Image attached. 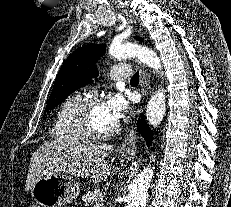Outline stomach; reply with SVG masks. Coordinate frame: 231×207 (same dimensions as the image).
Wrapping results in <instances>:
<instances>
[{"instance_id": "stomach-1", "label": "stomach", "mask_w": 231, "mask_h": 207, "mask_svg": "<svg viewBox=\"0 0 231 207\" xmlns=\"http://www.w3.org/2000/svg\"><path fill=\"white\" fill-rule=\"evenodd\" d=\"M78 182L65 173L40 177L31 189V195L41 207H61L72 203L79 195Z\"/></svg>"}]
</instances>
